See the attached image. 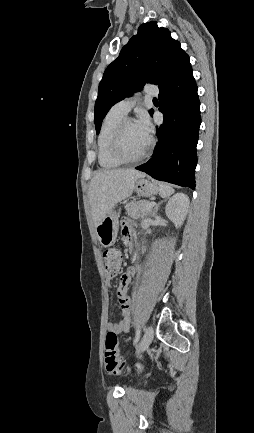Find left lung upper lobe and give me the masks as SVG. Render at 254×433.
Returning <instances> with one entry per match:
<instances>
[{
  "mask_svg": "<svg viewBox=\"0 0 254 433\" xmlns=\"http://www.w3.org/2000/svg\"><path fill=\"white\" fill-rule=\"evenodd\" d=\"M184 53L168 29L159 28L153 21L142 24L100 81L95 103L96 133L115 103L141 90L145 83L162 85Z\"/></svg>",
  "mask_w": 254,
  "mask_h": 433,
  "instance_id": "left-lung-upper-lobe-1",
  "label": "left lung upper lobe"
}]
</instances>
